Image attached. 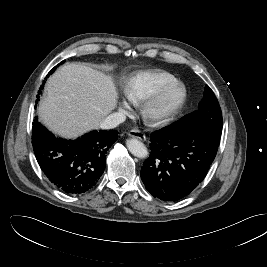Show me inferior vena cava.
<instances>
[{
  "instance_id": "602c4592",
  "label": "inferior vena cava",
  "mask_w": 267,
  "mask_h": 267,
  "mask_svg": "<svg viewBox=\"0 0 267 267\" xmlns=\"http://www.w3.org/2000/svg\"><path fill=\"white\" fill-rule=\"evenodd\" d=\"M125 118V115L121 112L112 113L100 123V128L107 130L113 129L117 127L120 123L124 122Z\"/></svg>"
}]
</instances>
